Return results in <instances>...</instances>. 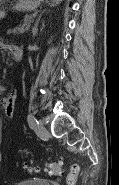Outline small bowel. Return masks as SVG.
I'll list each match as a JSON object with an SVG mask.
<instances>
[{"mask_svg": "<svg viewBox=\"0 0 119 185\" xmlns=\"http://www.w3.org/2000/svg\"><path fill=\"white\" fill-rule=\"evenodd\" d=\"M0 47H1L2 50H8V51H11V52L15 48V46L9 45V44H6V43H2L0 45ZM0 90L2 92H4L6 90V88L4 86H1ZM15 100H16V94H15L14 91H11L8 96L3 97L1 99L2 107L5 111L6 116L9 117V118L12 117V115H13Z\"/></svg>", "mask_w": 119, "mask_h": 185, "instance_id": "obj_1", "label": "small bowel"}]
</instances>
